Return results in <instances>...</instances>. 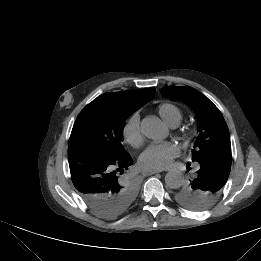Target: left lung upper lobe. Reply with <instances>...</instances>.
I'll return each instance as SVG.
<instances>
[{"mask_svg": "<svg viewBox=\"0 0 261 261\" xmlns=\"http://www.w3.org/2000/svg\"><path fill=\"white\" fill-rule=\"evenodd\" d=\"M161 94L170 99L182 101L189 105L197 115V138L192 150V161L200 163L203 159L225 167L231 163V143L227 124L219 109L203 94L189 86L163 87ZM215 192H206L192 182L179 187L175 199L184 207L200 211L215 203L223 191L225 182L219 184L210 181Z\"/></svg>", "mask_w": 261, "mask_h": 261, "instance_id": "5c2ea615", "label": "left lung upper lobe"}]
</instances>
